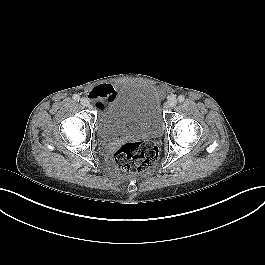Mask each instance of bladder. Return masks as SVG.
<instances>
[{"label": "bladder", "instance_id": "1", "mask_svg": "<svg viewBox=\"0 0 265 265\" xmlns=\"http://www.w3.org/2000/svg\"><path fill=\"white\" fill-rule=\"evenodd\" d=\"M165 121L157 88L147 82L124 85L101 107L96 131L102 141L125 136L159 137Z\"/></svg>", "mask_w": 265, "mask_h": 265}]
</instances>
